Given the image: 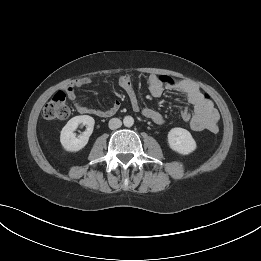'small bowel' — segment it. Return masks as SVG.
<instances>
[{
  "label": "small bowel",
  "instance_id": "1",
  "mask_svg": "<svg viewBox=\"0 0 261 261\" xmlns=\"http://www.w3.org/2000/svg\"><path fill=\"white\" fill-rule=\"evenodd\" d=\"M89 78H81L75 83L66 87L65 92L68 98L73 102L76 110L81 114H93L97 116H110L114 114L120 107L118 101L106 110H100L82 105L77 101L74 89L82 87L90 83ZM119 86L127 93L132 109L134 111H141L142 115L152 120L157 124L164 122L163 116L152 108H143L139 106L137 96L135 94L132 81L129 75H122L118 80ZM149 92L153 97H160L165 90H172L182 93L189 104L194 108V113L191 115L188 109L182 112L189 114L190 127L194 131L208 130L210 132L218 131L219 113L213 105L211 99L203 94L199 88L192 82L185 80H175L166 76L150 75L148 79Z\"/></svg>",
  "mask_w": 261,
  "mask_h": 261
}]
</instances>
